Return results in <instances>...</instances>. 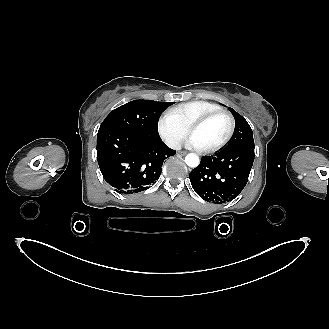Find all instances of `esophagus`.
Returning a JSON list of instances; mask_svg holds the SVG:
<instances>
[{
	"mask_svg": "<svg viewBox=\"0 0 329 329\" xmlns=\"http://www.w3.org/2000/svg\"><path fill=\"white\" fill-rule=\"evenodd\" d=\"M186 153H187L186 151H179L178 152V154H180V155H186Z\"/></svg>",
	"mask_w": 329,
	"mask_h": 329,
	"instance_id": "esophagus-1",
	"label": "esophagus"
}]
</instances>
